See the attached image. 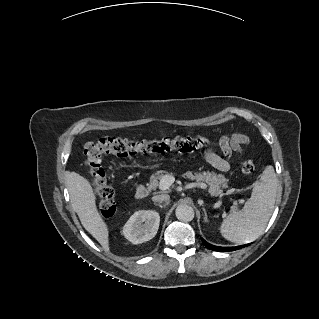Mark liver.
Returning <instances> with one entry per match:
<instances>
[{
    "mask_svg": "<svg viewBox=\"0 0 319 319\" xmlns=\"http://www.w3.org/2000/svg\"><path fill=\"white\" fill-rule=\"evenodd\" d=\"M67 185L72 206L81 224L104 250H109V229L97 209L96 196L90 182L83 176L70 172Z\"/></svg>",
    "mask_w": 319,
    "mask_h": 319,
    "instance_id": "liver-1",
    "label": "liver"
}]
</instances>
